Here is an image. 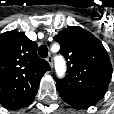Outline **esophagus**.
Here are the masks:
<instances>
[{"instance_id": "obj_1", "label": "esophagus", "mask_w": 114, "mask_h": 114, "mask_svg": "<svg viewBox=\"0 0 114 114\" xmlns=\"http://www.w3.org/2000/svg\"><path fill=\"white\" fill-rule=\"evenodd\" d=\"M47 62L49 63L50 67L52 68V67H53V58H52L51 55H49V56L47 57Z\"/></svg>"}]
</instances>
